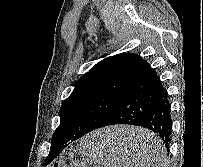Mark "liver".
I'll list each match as a JSON object with an SVG mask.
<instances>
[{
	"label": "liver",
	"mask_w": 203,
	"mask_h": 167,
	"mask_svg": "<svg viewBox=\"0 0 203 167\" xmlns=\"http://www.w3.org/2000/svg\"><path fill=\"white\" fill-rule=\"evenodd\" d=\"M108 133L114 144L113 154L116 160L125 161L135 167L141 158V147L146 138L151 134L140 127L115 126L102 130Z\"/></svg>",
	"instance_id": "liver-1"
}]
</instances>
